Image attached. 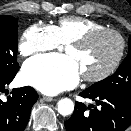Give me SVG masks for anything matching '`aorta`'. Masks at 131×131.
<instances>
[{
	"mask_svg": "<svg viewBox=\"0 0 131 131\" xmlns=\"http://www.w3.org/2000/svg\"><path fill=\"white\" fill-rule=\"evenodd\" d=\"M57 110L63 116L70 115L74 111V103L69 98H63L58 102Z\"/></svg>",
	"mask_w": 131,
	"mask_h": 131,
	"instance_id": "762f6f07",
	"label": "aorta"
}]
</instances>
